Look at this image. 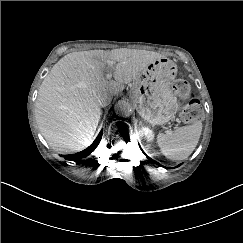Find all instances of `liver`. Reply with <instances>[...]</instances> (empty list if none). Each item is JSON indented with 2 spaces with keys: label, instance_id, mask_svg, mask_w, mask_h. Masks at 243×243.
<instances>
[{
  "label": "liver",
  "instance_id": "liver-1",
  "mask_svg": "<svg viewBox=\"0 0 243 243\" xmlns=\"http://www.w3.org/2000/svg\"><path fill=\"white\" fill-rule=\"evenodd\" d=\"M163 57L153 51L120 48L69 53L44 78L35 103V119L48 144L58 151L77 152L88 146L98 126V93L109 86L122 91L149 63ZM117 62L116 81L103 77L106 60ZM80 130L81 132H78Z\"/></svg>",
  "mask_w": 243,
  "mask_h": 243
}]
</instances>
